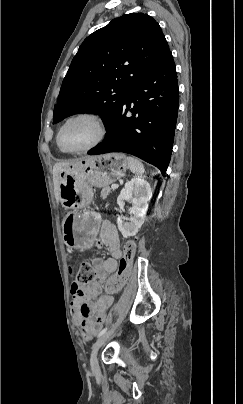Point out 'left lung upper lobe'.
Instances as JSON below:
<instances>
[{
	"label": "left lung upper lobe",
	"mask_w": 243,
	"mask_h": 404,
	"mask_svg": "<svg viewBox=\"0 0 243 404\" xmlns=\"http://www.w3.org/2000/svg\"><path fill=\"white\" fill-rule=\"evenodd\" d=\"M169 53L159 24L148 14L113 19L79 47L63 80L53 123L77 113H94L107 127L136 83Z\"/></svg>",
	"instance_id": "1"
}]
</instances>
